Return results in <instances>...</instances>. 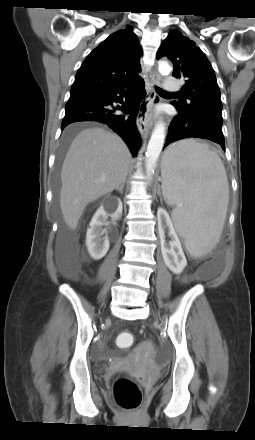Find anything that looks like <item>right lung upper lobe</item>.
<instances>
[{
  "label": "right lung upper lobe",
  "instance_id": "cb5924a9",
  "mask_svg": "<svg viewBox=\"0 0 255 440\" xmlns=\"http://www.w3.org/2000/svg\"><path fill=\"white\" fill-rule=\"evenodd\" d=\"M141 49L131 26L97 46L79 68L70 95L104 90L138 77Z\"/></svg>",
  "mask_w": 255,
  "mask_h": 440
}]
</instances>
